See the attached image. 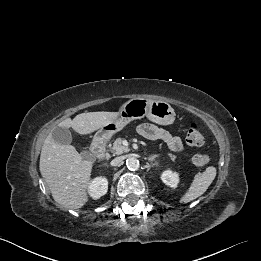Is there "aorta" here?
<instances>
[{
    "instance_id": "obj_1",
    "label": "aorta",
    "mask_w": 261,
    "mask_h": 261,
    "mask_svg": "<svg viewBox=\"0 0 261 261\" xmlns=\"http://www.w3.org/2000/svg\"><path fill=\"white\" fill-rule=\"evenodd\" d=\"M126 165L130 170H137L140 166L139 160L133 156H129L126 160Z\"/></svg>"
}]
</instances>
